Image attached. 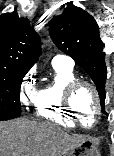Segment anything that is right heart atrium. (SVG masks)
<instances>
[{
	"mask_svg": "<svg viewBox=\"0 0 114 156\" xmlns=\"http://www.w3.org/2000/svg\"><path fill=\"white\" fill-rule=\"evenodd\" d=\"M37 89L35 85V71L31 69L28 71L21 80L19 87V97L23 105H28L34 102L37 95Z\"/></svg>",
	"mask_w": 114,
	"mask_h": 156,
	"instance_id": "d8ad5b80",
	"label": "right heart atrium"
}]
</instances>
